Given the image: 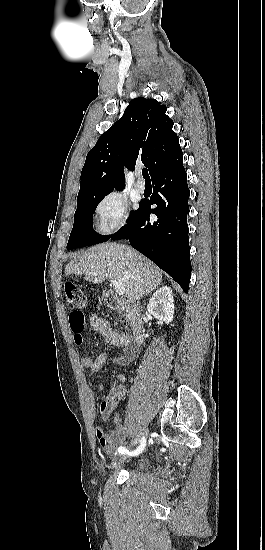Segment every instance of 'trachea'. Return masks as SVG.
<instances>
[{
  "label": "trachea",
  "instance_id": "obj_1",
  "mask_svg": "<svg viewBox=\"0 0 265 550\" xmlns=\"http://www.w3.org/2000/svg\"><path fill=\"white\" fill-rule=\"evenodd\" d=\"M142 175H143V178L146 179V180H149V174H148V170L146 168H144L142 170Z\"/></svg>",
  "mask_w": 265,
  "mask_h": 550
}]
</instances>
